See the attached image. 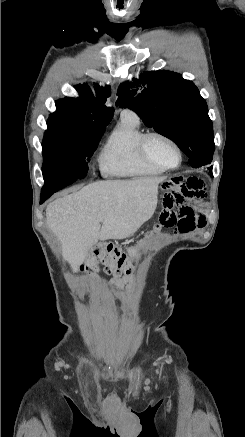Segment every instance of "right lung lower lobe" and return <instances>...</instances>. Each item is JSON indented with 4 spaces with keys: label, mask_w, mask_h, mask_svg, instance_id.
<instances>
[{
    "label": "right lung lower lobe",
    "mask_w": 245,
    "mask_h": 437,
    "mask_svg": "<svg viewBox=\"0 0 245 437\" xmlns=\"http://www.w3.org/2000/svg\"><path fill=\"white\" fill-rule=\"evenodd\" d=\"M73 182L74 181L69 178L50 179L45 181V184L41 190L40 204L45 202V200H47L52 194L72 184Z\"/></svg>",
    "instance_id": "98d812e1"
}]
</instances>
